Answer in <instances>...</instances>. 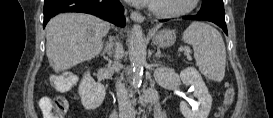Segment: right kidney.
<instances>
[{
	"mask_svg": "<svg viewBox=\"0 0 273 118\" xmlns=\"http://www.w3.org/2000/svg\"><path fill=\"white\" fill-rule=\"evenodd\" d=\"M78 93L84 108L90 110L102 104L106 91L103 84L96 83L87 71L79 84Z\"/></svg>",
	"mask_w": 273,
	"mask_h": 118,
	"instance_id": "right-kidney-1",
	"label": "right kidney"
}]
</instances>
